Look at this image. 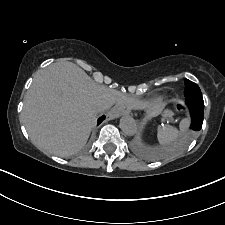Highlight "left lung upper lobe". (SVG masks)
<instances>
[{
    "label": "left lung upper lobe",
    "mask_w": 225,
    "mask_h": 225,
    "mask_svg": "<svg viewBox=\"0 0 225 225\" xmlns=\"http://www.w3.org/2000/svg\"><path fill=\"white\" fill-rule=\"evenodd\" d=\"M185 86L186 88L184 93H185L186 100H191V99L203 100L201 90L197 84L186 79Z\"/></svg>",
    "instance_id": "5c2ea615"
}]
</instances>
